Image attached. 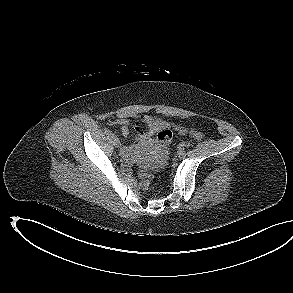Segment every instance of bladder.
I'll return each instance as SVG.
<instances>
[{
  "mask_svg": "<svg viewBox=\"0 0 293 293\" xmlns=\"http://www.w3.org/2000/svg\"><path fill=\"white\" fill-rule=\"evenodd\" d=\"M142 164L144 165V167H148L149 166V163L146 162V161H143Z\"/></svg>",
  "mask_w": 293,
  "mask_h": 293,
  "instance_id": "1",
  "label": "bladder"
}]
</instances>
